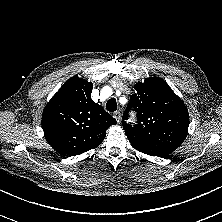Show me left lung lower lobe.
I'll use <instances>...</instances> for the list:
<instances>
[{"mask_svg": "<svg viewBox=\"0 0 222 222\" xmlns=\"http://www.w3.org/2000/svg\"><path fill=\"white\" fill-rule=\"evenodd\" d=\"M132 146L136 150H138L144 154L162 157V158L175 150L173 148H150V147H146V146H142V145H138V144H132Z\"/></svg>", "mask_w": 222, "mask_h": 222, "instance_id": "left-lung-lower-lobe-1", "label": "left lung lower lobe"}]
</instances>
